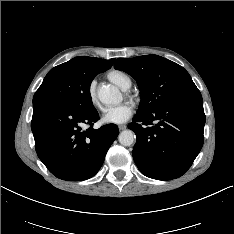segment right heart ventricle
Returning <instances> with one entry per match:
<instances>
[{
  "label": "right heart ventricle",
  "mask_w": 234,
  "mask_h": 234,
  "mask_svg": "<svg viewBox=\"0 0 234 234\" xmlns=\"http://www.w3.org/2000/svg\"><path fill=\"white\" fill-rule=\"evenodd\" d=\"M107 78L122 90H127L132 85L130 75L122 70H111L108 72Z\"/></svg>",
  "instance_id": "e07e8e85"
}]
</instances>
